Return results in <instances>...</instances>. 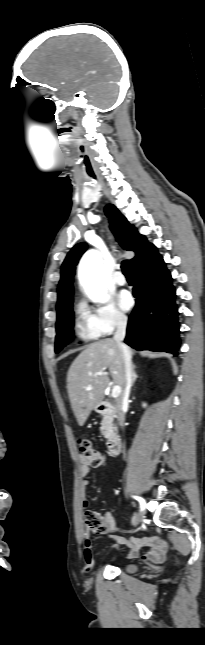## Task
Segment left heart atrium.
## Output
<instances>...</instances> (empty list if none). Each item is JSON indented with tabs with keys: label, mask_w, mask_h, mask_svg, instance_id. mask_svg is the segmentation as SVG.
I'll list each match as a JSON object with an SVG mask.
<instances>
[{
	"label": "left heart atrium",
	"mask_w": 205,
	"mask_h": 645,
	"mask_svg": "<svg viewBox=\"0 0 205 645\" xmlns=\"http://www.w3.org/2000/svg\"><path fill=\"white\" fill-rule=\"evenodd\" d=\"M119 303L122 309L129 310L132 308L134 301L131 294L127 291H124L119 296Z\"/></svg>",
	"instance_id": "obj_1"
}]
</instances>
